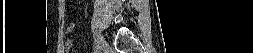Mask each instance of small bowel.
<instances>
[{"label": "small bowel", "mask_w": 253, "mask_h": 53, "mask_svg": "<svg viewBox=\"0 0 253 53\" xmlns=\"http://www.w3.org/2000/svg\"><path fill=\"white\" fill-rule=\"evenodd\" d=\"M73 28H74V25L73 24H70V25H68L66 28H65V31L66 32H70V31H72L73 30ZM72 41L71 40H66L65 41V48L66 49H71L72 48Z\"/></svg>", "instance_id": "small-bowel-1"}]
</instances>
